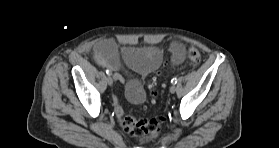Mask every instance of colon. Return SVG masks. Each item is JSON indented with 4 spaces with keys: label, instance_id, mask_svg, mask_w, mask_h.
<instances>
[{
    "label": "colon",
    "instance_id": "obj_1",
    "mask_svg": "<svg viewBox=\"0 0 279 148\" xmlns=\"http://www.w3.org/2000/svg\"><path fill=\"white\" fill-rule=\"evenodd\" d=\"M186 56L193 66H197L201 61L200 52L196 48H188ZM149 88L153 97H156L157 79L155 77L149 82ZM119 120L122 128L127 133L139 138L143 143H149L156 139L161 133L163 123L160 117L141 119L132 114H123Z\"/></svg>",
    "mask_w": 279,
    "mask_h": 148
}]
</instances>
